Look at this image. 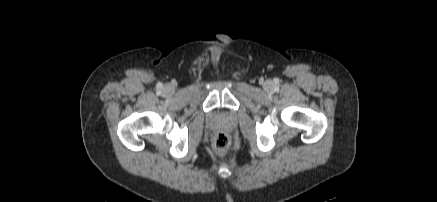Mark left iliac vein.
Wrapping results in <instances>:
<instances>
[{"instance_id":"4c4485c4","label":"left iliac vein","mask_w":437,"mask_h":202,"mask_svg":"<svg viewBox=\"0 0 437 202\" xmlns=\"http://www.w3.org/2000/svg\"><path fill=\"white\" fill-rule=\"evenodd\" d=\"M269 86V84H266V87H268Z\"/></svg>"}]
</instances>
